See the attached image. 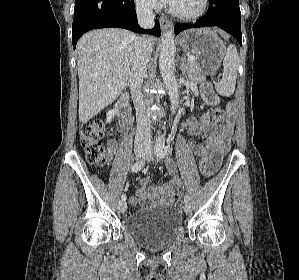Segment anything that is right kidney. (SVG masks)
Listing matches in <instances>:
<instances>
[{
    "instance_id": "ca27d5eb",
    "label": "right kidney",
    "mask_w": 299,
    "mask_h": 280,
    "mask_svg": "<svg viewBox=\"0 0 299 280\" xmlns=\"http://www.w3.org/2000/svg\"><path fill=\"white\" fill-rule=\"evenodd\" d=\"M116 113H117V110H116V109L109 110V111L107 112L106 123L111 122L112 118H114V116H115Z\"/></svg>"
}]
</instances>
